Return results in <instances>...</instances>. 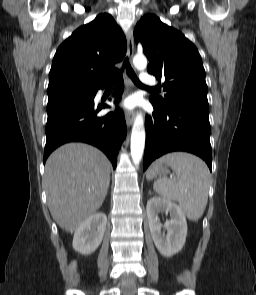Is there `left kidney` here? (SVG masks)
Masks as SVG:
<instances>
[{
    "label": "left kidney",
    "mask_w": 256,
    "mask_h": 295,
    "mask_svg": "<svg viewBox=\"0 0 256 295\" xmlns=\"http://www.w3.org/2000/svg\"><path fill=\"white\" fill-rule=\"evenodd\" d=\"M146 212L151 236L158 251L165 257L178 253L183 248L187 235V222L182 209L171 200L155 196L148 200ZM160 212L170 214V219L164 225L158 217ZM162 227L167 234L162 232Z\"/></svg>",
    "instance_id": "left-kidney-1"
}]
</instances>
